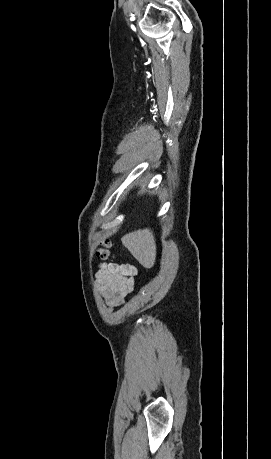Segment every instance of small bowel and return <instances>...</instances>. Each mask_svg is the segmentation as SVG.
<instances>
[{
  "label": "small bowel",
  "instance_id": "1",
  "mask_svg": "<svg viewBox=\"0 0 271 459\" xmlns=\"http://www.w3.org/2000/svg\"><path fill=\"white\" fill-rule=\"evenodd\" d=\"M136 270L130 265L103 264L95 276L98 292L105 298L110 310L121 306L134 289Z\"/></svg>",
  "mask_w": 271,
  "mask_h": 459
}]
</instances>
